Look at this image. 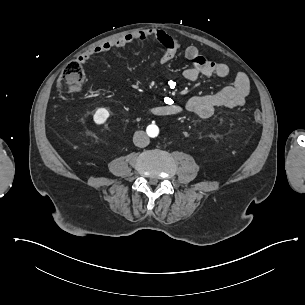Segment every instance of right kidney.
<instances>
[{"label": "right kidney", "instance_id": "ca27d5eb", "mask_svg": "<svg viewBox=\"0 0 305 305\" xmlns=\"http://www.w3.org/2000/svg\"><path fill=\"white\" fill-rule=\"evenodd\" d=\"M110 117L106 108H98L93 114V122L97 126L105 125Z\"/></svg>", "mask_w": 305, "mask_h": 305}]
</instances>
